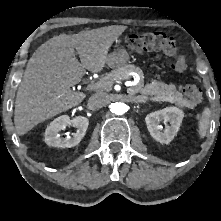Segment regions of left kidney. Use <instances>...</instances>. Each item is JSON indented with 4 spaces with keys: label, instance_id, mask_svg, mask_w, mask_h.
I'll return each instance as SVG.
<instances>
[{
    "label": "left kidney",
    "instance_id": "left-kidney-1",
    "mask_svg": "<svg viewBox=\"0 0 221 221\" xmlns=\"http://www.w3.org/2000/svg\"><path fill=\"white\" fill-rule=\"evenodd\" d=\"M184 113L177 107H167L159 111L148 114L145 118L146 125L150 135L158 142L168 144L176 136L182 123ZM165 123V129L162 130L160 122ZM170 122V125H167Z\"/></svg>",
    "mask_w": 221,
    "mask_h": 221
}]
</instances>
